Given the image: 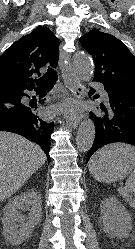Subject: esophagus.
<instances>
[{
	"label": "esophagus",
	"mask_w": 135,
	"mask_h": 249,
	"mask_svg": "<svg viewBox=\"0 0 135 249\" xmlns=\"http://www.w3.org/2000/svg\"><path fill=\"white\" fill-rule=\"evenodd\" d=\"M68 54L64 50H60V61L64 66V79L66 86L69 88L72 94H82L84 92V87L80 83L77 72L73 68L71 64H64V61L68 59ZM65 117L68 119L69 125L76 129L82 119L83 114H69L68 112H64Z\"/></svg>",
	"instance_id": "esophagus-1"
}]
</instances>
